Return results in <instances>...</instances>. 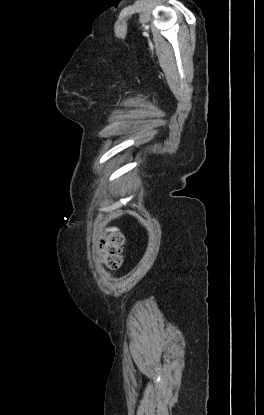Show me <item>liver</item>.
Masks as SVG:
<instances>
[{
	"label": "liver",
	"mask_w": 264,
	"mask_h": 415,
	"mask_svg": "<svg viewBox=\"0 0 264 415\" xmlns=\"http://www.w3.org/2000/svg\"><path fill=\"white\" fill-rule=\"evenodd\" d=\"M110 230H111V231H115V230H117V228L112 227V228H110Z\"/></svg>",
	"instance_id": "1"
}]
</instances>
